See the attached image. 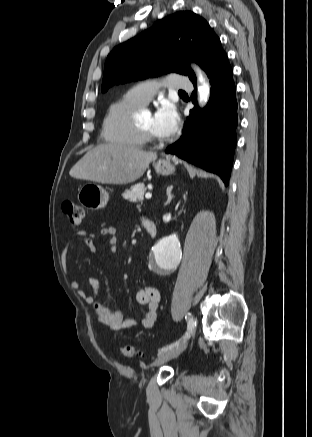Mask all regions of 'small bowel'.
Returning <instances> with one entry per match:
<instances>
[{"instance_id": "c3829d8e", "label": "small bowel", "mask_w": 312, "mask_h": 437, "mask_svg": "<svg viewBox=\"0 0 312 437\" xmlns=\"http://www.w3.org/2000/svg\"><path fill=\"white\" fill-rule=\"evenodd\" d=\"M105 235L109 237V250L115 252L117 249V230L114 226L103 227L99 233L89 232L87 230L77 231L71 242H84L87 246L94 248L93 239L98 235ZM87 285L91 290L87 294L83 288L79 286L76 281H71V286L78 292L84 301L93 307L96 313L97 320L108 327L110 330L118 331L130 329L140 324L143 328H151L157 318L160 296L158 290L153 286H143L136 292V300L139 304L146 307L145 313L139 321L130 316H124L118 310H112L98 301V292L100 282L95 277L87 279Z\"/></svg>"}]
</instances>
